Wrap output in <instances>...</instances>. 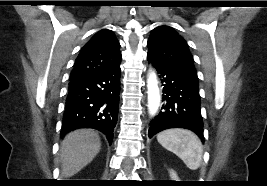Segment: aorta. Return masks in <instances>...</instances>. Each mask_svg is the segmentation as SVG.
<instances>
[{
    "instance_id": "obj_1",
    "label": "aorta",
    "mask_w": 267,
    "mask_h": 186,
    "mask_svg": "<svg viewBox=\"0 0 267 186\" xmlns=\"http://www.w3.org/2000/svg\"><path fill=\"white\" fill-rule=\"evenodd\" d=\"M148 110L150 115H155L160 105V93L156 74L150 72L147 79Z\"/></svg>"
}]
</instances>
